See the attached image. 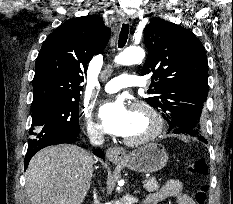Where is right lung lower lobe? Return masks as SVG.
Returning <instances> with one entry per match:
<instances>
[{
  "instance_id": "right-lung-lower-lobe-1",
  "label": "right lung lower lobe",
  "mask_w": 233,
  "mask_h": 204,
  "mask_svg": "<svg viewBox=\"0 0 233 204\" xmlns=\"http://www.w3.org/2000/svg\"><path fill=\"white\" fill-rule=\"evenodd\" d=\"M80 138V135L77 134V135H71V134H65V135H61V136H58L56 138H54L53 140H51L49 143H47L46 145H44L42 148L46 147V146H50V145H56V144H62V143H72L74 142L75 140H78ZM41 148V149H42ZM40 149L36 150V151H28L27 150V153H26V156H25V165H24V169L26 170L28 164H29V161L30 159L32 158V156L37 152L39 151ZM94 153L100 157V158H104V154L103 152L100 150V149H97L94 151Z\"/></svg>"
}]
</instances>
